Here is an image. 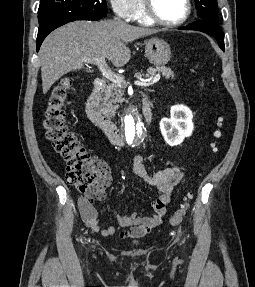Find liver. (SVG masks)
Instances as JSON below:
<instances>
[{"mask_svg": "<svg viewBox=\"0 0 255 287\" xmlns=\"http://www.w3.org/2000/svg\"><path fill=\"white\" fill-rule=\"evenodd\" d=\"M158 30L137 28L127 22H71L45 38L39 52L43 94H47L61 76L82 70L83 58L104 56L116 68L129 62L131 52L126 44L157 34ZM93 72V70H87Z\"/></svg>", "mask_w": 255, "mask_h": 287, "instance_id": "6515ba94", "label": "liver"}]
</instances>
